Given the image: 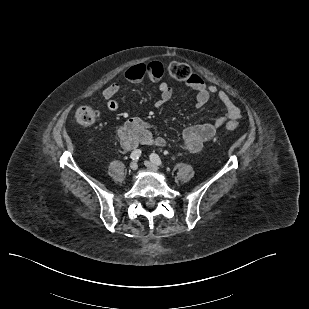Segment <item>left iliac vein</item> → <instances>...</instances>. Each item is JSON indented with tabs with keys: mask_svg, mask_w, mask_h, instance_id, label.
<instances>
[{
	"mask_svg": "<svg viewBox=\"0 0 309 309\" xmlns=\"http://www.w3.org/2000/svg\"><path fill=\"white\" fill-rule=\"evenodd\" d=\"M145 166L150 169L151 171H158V166L150 161H145Z\"/></svg>",
	"mask_w": 309,
	"mask_h": 309,
	"instance_id": "1",
	"label": "left iliac vein"
}]
</instances>
